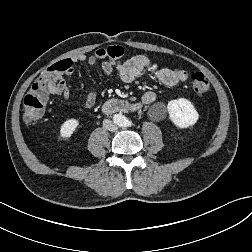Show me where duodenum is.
<instances>
[{"label":"duodenum","instance_id":"1","mask_svg":"<svg viewBox=\"0 0 252 252\" xmlns=\"http://www.w3.org/2000/svg\"><path fill=\"white\" fill-rule=\"evenodd\" d=\"M133 110H134V106L126 102L117 100V99L108 100L102 105V111L105 114H114V113L125 112V111L130 112Z\"/></svg>","mask_w":252,"mask_h":252}]
</instances>
